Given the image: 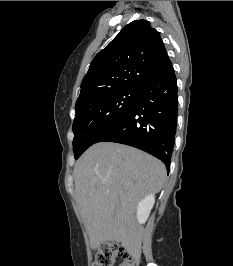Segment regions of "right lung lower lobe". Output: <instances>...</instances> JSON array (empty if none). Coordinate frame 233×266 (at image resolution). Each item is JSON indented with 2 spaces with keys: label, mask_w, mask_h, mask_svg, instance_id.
Instances as JSON below:
<instances>
[{
  "label": "right lung lower lobe",
  "mask_w": 233,
  "mask_h": 266,
  "mask_svg": "<svg viewBox=\"0 0 233 266\" xmlns=\"http://www.w3.org/2000/svg\"><path fill=\"white\" fill-rule=\"evenodd\" d=\"M176 117L177 83L171 65L140 90L131 108L97 142H116L141 149L163 161L169 172Z\"/></svg>",
  "instance_id": "1"
}]
</instances>
